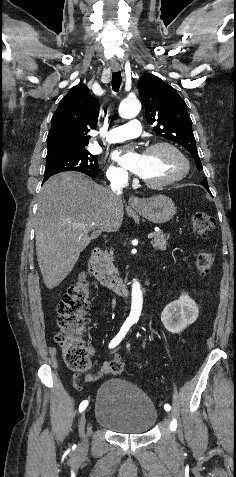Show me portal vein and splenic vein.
<instances>
[{"instance_id":"portal-vein-and-splenic-vein-1","label":"portal vein and splenic vein","mask_w":236,"mask_h":477,"mask_svg":"<svg viewBox=\"0 0 236 477\" xmlns=\"http://www.w3.org/2000/svg\"><path fill=\"white\" fill-rule=\"evenodd\" d=\"M78 226H81V227H92L94 226V224H90V225H87V224H78ZM154 234L153 233H149L148 234V238L151 239L153 238Z\"/></svg>"}]
</instances>
